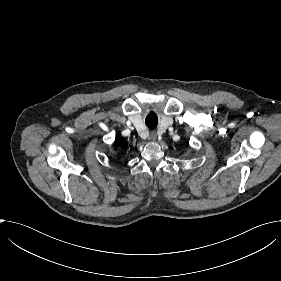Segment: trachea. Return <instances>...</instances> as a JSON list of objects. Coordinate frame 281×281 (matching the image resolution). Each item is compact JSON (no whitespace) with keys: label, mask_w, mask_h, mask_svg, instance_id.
Here are the masks:
<instances>
[{"label":"trachea","mask_w":281,"mask_h":281,"mask_svg":"<svg viewBox=\"0 0 281 281\" xmlns=\"http://www.w3.org/2000/svg\"><path fill=\"white\" fill-rule=\"evenodd\" d=\"M151 115H153V114H150V115H148V116L146 117V125H147V127L150 128V129H155L156 126H157V124H154V123L152 122V119H151V117H150Z\"/></svg>","instance_id":"3493384b"}]
</instances>
